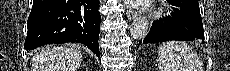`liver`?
Masks as SVG:
<instances>
[{
    "instance_id": "obj_1",
    "label": "liver",
    "mask_w": 230,
    "mask_h": 71,
    "mask_svg": "<svg viewBox=\"0 0 230 71\" xmlns=\"http://www.w3.org/2000/svg\"><path fill=\"white\" fill-rule=\"evenodd\" d=\"M82 55L75 46L44 48L32 59L33 71H77Z\"/></svg>"
}]
</instances>
